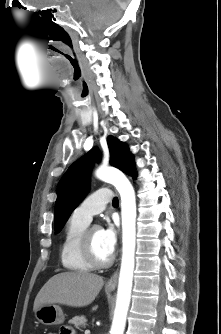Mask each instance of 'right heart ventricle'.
<instances>
[{
  "mask_svg": "<svg viewBox=\"0 0 221 334\" xmlns=\"http://www.w3.org/2000/svg\"><path fill=\"white\" fill-rule=\"evenodd\" d=\"M88 224L72 215L65 226L60 259L63 267L68 271L86 273L93 269L83 256L80 247L81 236Z\"/></svg>",
  "mask_w": 221,
  "mask_h": 334,
  "instance_id": "right-heart-ventricle-1",
  "label": "right heart ventricle"
}]
</instances>
